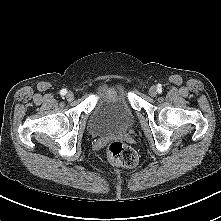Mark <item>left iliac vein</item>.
<instances>
[{
    "label": "left iliac vein",
    "mask_w": 221,
    "mask_h": 221,
    "mask_svg": "<svg viewBox=\"0 0 221 221\" xmlns=\"http://www.w3.org/2000/svg\"><path fill=\"white\" fill-rule=\"evenodd\" d=\"M149 94H150V96H152V97L157 96V94H158L157 87H156V86H152V87L149 89Z\"/></svg>",
    "instance_id": "left-iliac-vein-1"
}]
</instances>
